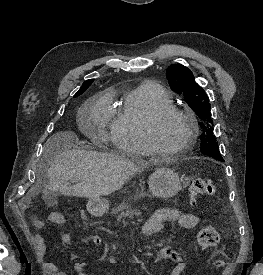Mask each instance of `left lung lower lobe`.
<instances>
[{"label":"left lung lower lobe","mask_w":263,"mask_h":275,"mask_svg":"<svg viewBox=\"0 0 263 275\" xmlns=\"http://www.w3.org/2000/svg\"><path fill=\"white\" fill-rule=\"evenodd\" d=\"M217 160H219V161H224V160H223V158H221V159H217Z\"/></svg>","instance_id":"1"}]
</instances>
